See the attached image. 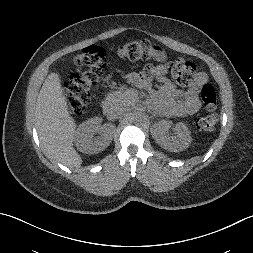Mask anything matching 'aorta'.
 <instances>
[{
  "label": "aorta",
  "mask_w": 253,
  "mask_h": 253,
  "mask_svg": "<svg viewBox=\"0 0 253 253\" xmlns=\"http://www.w3.org/2000/svg\"><path fill=\"white\" fill-rule=\"evenodd\" d=\"M132 119L136 123H141L146 120V115L142 111H135L132 115Z\"/></svg>",
  "instance_id": "1"
}]
</instances>
